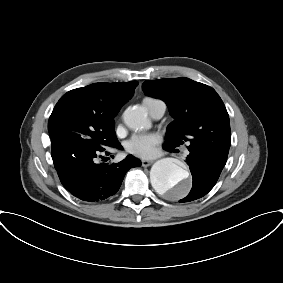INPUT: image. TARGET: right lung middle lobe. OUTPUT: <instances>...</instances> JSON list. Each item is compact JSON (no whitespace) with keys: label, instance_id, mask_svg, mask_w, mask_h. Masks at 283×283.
I'll list each match as a JSON object with an SVG mask.
<instances>
[{"label":"right lung middle lobe","instance_id":"obj_1","mask_svg":"<svg viewBox=\"0 0 283 283\" xmlns=\"http://www.w3.org/2000/svg\"><path fill=\"white\" fill-rule=\"evenodd\" d=\"M52 157L73 154L84 147L103 150L118 142L114 121L106 122L75 96L66 93L49 118Z\"/></svg>","mask_w":283,"mask_h":283}]
</instances>
